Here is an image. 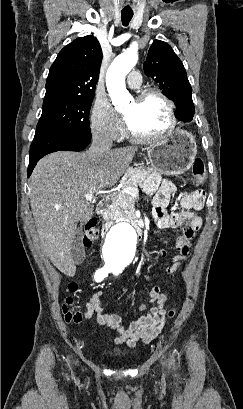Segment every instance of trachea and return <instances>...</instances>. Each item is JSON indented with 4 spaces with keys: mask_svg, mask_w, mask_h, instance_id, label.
<instances>
[{
    "mask_svg": "<svg viewBox=\"0 0 243 409\" xmlns=\"http://www.w3.org/2000/svg\"><path fill=\"white\" fill-rule=\"evenodd\" d=\"M121 17H122V24L124 26H127L130 22V20L133 17V12L130 11H122L121 12Z\"/></svg>",
    "mask_w": 243,
    "mask_h": 409,
    "instance_id": "3493384b",
    "label": "trachea"
}]
</instances>
